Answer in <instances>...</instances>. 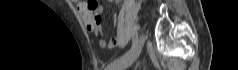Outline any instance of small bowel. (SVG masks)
<instances>
[{"instance_id":"c3829d8e","label":"small bowel","mask_w":238,"mask_h":70,"mask_svg":"<svg viewBox=\"0 0 238 70\" xmlns=\"http://www.w3.org/2000/svg\"><path fill=\"white\" fill-rule=\"evenodd\" d=\"M78 12L87 29L99 37V44L102 48L112 49L118 46V38L106 41L102 27L101 8L98 4L92 5L91 2H80ZM116 20V16H114Z\"/></svg>"}]
</instances>
